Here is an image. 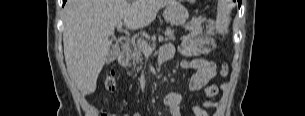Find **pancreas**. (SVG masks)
<instances>
[{
	"instance_id": "1",
	"label": "pancreas",
	"mask_w": 305,
	"mask_h": 116,
	"mask_svg": "<svg viewBox=\"0 0 305 116\" xmlns=\"http://www.w3.org/2000/svg\"><path fill=\"white\" fill-rule=\"evenodd\" d=\"M166 39L168 40H175L174 37V31L167 27L166 31L164 32ZM144 42L147 44V40H141L140 42L137 43V46H134V48L130 51V60L132 61V66L134 67V69H136L138 71V65L142 64V51L138 48L139 43Z\"/></svg>"
}]
</instances>
